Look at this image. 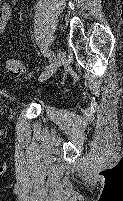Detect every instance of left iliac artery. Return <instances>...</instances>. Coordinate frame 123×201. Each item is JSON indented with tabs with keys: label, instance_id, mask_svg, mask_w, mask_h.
Segmentation results:
<instances>
[{
	"label": "left iliac artery",
	"instance_id": "1",
	"mask_svg": "<svg viewBox=\"0 0 123 201\" xmlns=\"http://www.w3.org/2000/svg\"><path fill=\"white\" fill-rule=\"evenodd\" d=\"M43 53L50 59H52L54 57L53 52L51 50L47 49V48L43 49Z\"/></svg>",
	"mask_w": 123,
	"mask_h": 201
}]
</instances>
